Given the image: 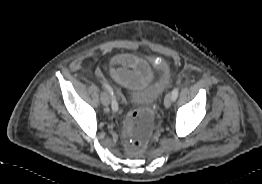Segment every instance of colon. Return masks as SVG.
<instances>
[{
  "label": "colon",
  "instance_id": "obj_1",
  "mask_svg": "<svg viewBox=\"0 0 262 184\" xmlns=\"http://www.w3.org/2000/svg\"><path fill=\"white\" fill-rule=\"evenodd\" d=\"M153 128V115L150 111L131 113L126 130V145L133 153L143 151L148 143Z\"/></svg>",
  "mask_w": 262,
  "mask_h": 184
}]
</instances>
